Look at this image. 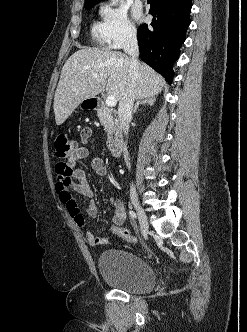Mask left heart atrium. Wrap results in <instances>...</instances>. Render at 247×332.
Wrapping results in <instances>:
<instances>
[{"mask_svg":"<svg viewBox=\"0 0 247 332\" xmlns=\"http://www.w3.org/2000/svg\"><path fill=\"white\" fill-rule=\"evenodd\" d=\"M133 16H134V18L137 19V20H139V19L141 18L142 14H141V11H140L139 8H135V9L133 10Z\"/></svg>","mask_w":247,"mask_h":332,"instance_id":"obj_1","label":"left heart atrium"}]
</instances>
